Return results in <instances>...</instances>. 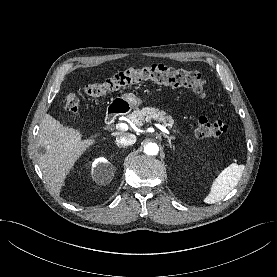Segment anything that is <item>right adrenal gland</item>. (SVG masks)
I'll use <instances>...</instances> for the list:
<instances>
[{
    "mask_svg": "<svg viewBox=\"0 0 277 277\" xmlns=\"http://www.w3.org/2000/svg\"><path fill=\"white\" fill-rule=\"evenodd\" d=\"M119 148H125V146L120 145L119 143H116Z\"/></svg>",
    "mask_w": 277,
    "mask_h": 277,
    "instance_id": "1",
    "label": "right adrenal gland"
}]
</instances>
